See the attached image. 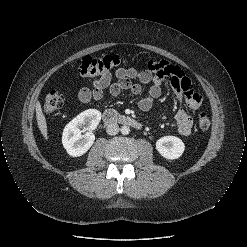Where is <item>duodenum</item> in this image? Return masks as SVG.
<instances>
[{
  "label": "duodenum",
  "mask_w": 247,
  "mask_h": 247,
  "mask_svg": "<svg viewBox=\"0 0 247 247\" xmlns=\"http://www.w3.org/2000/svg\"><path fill=\"white\" fill-rule=\"evenodd\" d=\"M103 121L106 124H122L135 129H141L142 127V124L138 120L130 116L118 114L111 109H107L103 112Z\"/></svg>",
  "instance_id": "1"
}]
</instances>
